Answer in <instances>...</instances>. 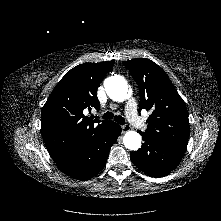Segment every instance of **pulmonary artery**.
Wrapping results in <instances>:
<instances>
[{
    "label": "pulmonary artery",
    "instance_id": "e3ab8cb5",
    "mask_svg": "<svg viewBox=\"0 0 221 221\" xmlns=\"http://www.w3.org/2000/svg\"><path fill=\"white\" fill-rule=\"evenodd\" d=\"M125 112L127 115L128 120L135 126V127H141L142 122L137 115V104L133 98L129 99L126 102L125 106Z\"/></svg>",
    "mask_w": 221,
    "mask_h": 221
}]
</instances>
